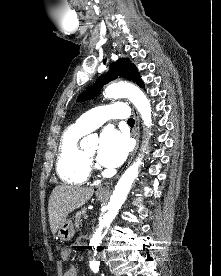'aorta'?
Returning <instances> with one entry per match:
<instances>
[{
    "label": "aorta",
    "instance_id": "aorta-1",
    "mask_svg": "<svg viewBox=\"0 0 221 276\" xmlns=\"http://www.w3.org/2000/svg\"><path fill=\"white\" fill-rule=\"evenodd\" d=\"M104 97L108 99H117L127 97L137 108L141 114L142 120L147 127L152 124L151 105L145 94L136 86L126 83H117L109 85L104 92ZM142 163V157H138L136 161L124 172L115 186L114 192L108 203V211L100 219L99 226L96 229L90 244L93 247L99 246L102 240V231L109 227L111 222L116 217L119 209L123 205L131 186L138 176L139 166ZM96 255V251H95ZM93 265H98L99 262L95 258L90 261Z\"/></svg>",
    "mask_w": 221,
    "mask_h": 276
}]
</instances>
